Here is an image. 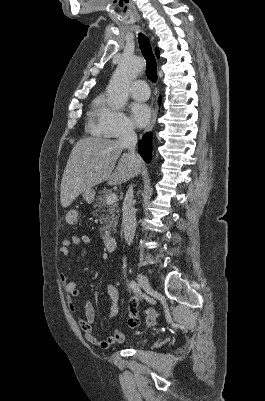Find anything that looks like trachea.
I'll use <instances>...</instances> for the list:
<instances>
[{"label": "trachea", "mask_w": 265, "mask_h": 401, "mask_svg": "<svg viewBox=\"0 0 265 401\" xmlns=\"http://www.w3.org/2000/svg\"><path fill=\"white\" fill-rule=\"evenodd\" d=\"M141 52L146 60V76L152 82L156 83L158 75L156 72L157 64L155 57L152 53L151 44L149 39L142 33L138 36Z\"/></svg>", "instance_id": "1"}]
</instances>
